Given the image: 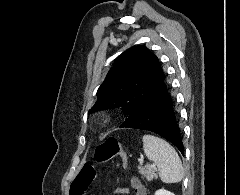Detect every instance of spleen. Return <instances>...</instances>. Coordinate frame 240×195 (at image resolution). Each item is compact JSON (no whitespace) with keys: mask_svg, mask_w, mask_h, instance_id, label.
<instances>
[{"mask_svg":"<svg viewBox=\"0 0 240 195\" xmlns=\"http://www.w3.org/2000/svg\"><path fill=\"white\" fill-rule=\"evenodd\" d=\"M143 149L148 159L155 161L159 177L165 183H177L184 175L182 161L174 147L156 135H143Z\"/></svg>","mask_w":240,"mask_h":195,"instance_id":"1","label":"spleen"}]
</instances>
